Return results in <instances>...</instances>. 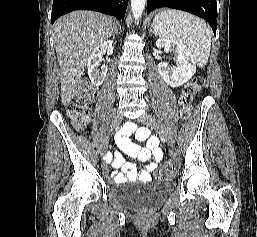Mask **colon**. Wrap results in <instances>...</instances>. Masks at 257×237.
Here are the masks:
<instances>
[{
  "label": "colon",
  "instance_id": "1",
  "mask_svg": "<svg viewBox=\"0 0 257 237\" xmlns=\"http://www.w3.org/2000/svg\"><path fill=\"white\" fill-rule=\"evenodd\" d=\"M204 83V78L197 76L185 85L182 95L179 98V105L184 117H189L191 114L194 97L202 90ZM94 96V89L88 83L84 82L81 84L75 97L68 105L67 113L75 128L82 129L86 126L89 120L88 103ZM175 168V161L169 160L155 173V178L157 180H167L172 176Z\"/></svg>",
  "mask_w": 257,
  "mask_h": 237
}]
</instances>
